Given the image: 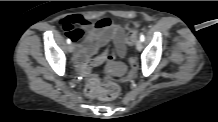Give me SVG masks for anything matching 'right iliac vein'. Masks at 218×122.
<instances>
[{
	"mask_svg": "<svg viewBox=\"0 0 218 122\" xmlns=\"http://www.w3.org/2000/svg\"><path fill=\"white\" fill-rule=\"evenodd\" d=\"M68 52L72 53L74 51V45L73 44H69L67 47Z\"/></svg>",
	"mask_w": 218,
	"mask_h": 122,
	"instance_id": "right-iliac-vein-1",
	"label": "right iliac vein"
}]
</instances>
